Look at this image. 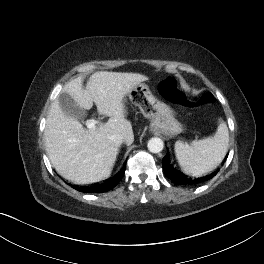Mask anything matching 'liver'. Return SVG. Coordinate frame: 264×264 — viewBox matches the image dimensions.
Listing matches in <instances>:
<instances>
[{"instance_id":"1","label":"liver","mask_w":264,"mask_h":264,"mask_svg":"<svg viewBox=\"0 0 264 264\" xmlns=\"http://www.w3.org/2000/svg\"><path fill=\"white\" fill-rule=\"evenodd\" d=\"M148 80L137 73L100 71L92 74L83 88V78L68 82L62 89L79 107L90 110L93 103L101 115L110 117L95 129H84L75 118L66 116L56 99L50 108L44 131L48 157L64 179L75 184H88L110 176L120 144L112 135L134 140L132 124L126 119L124 97L139 83Z\"/></svg>"}]
</instances>
